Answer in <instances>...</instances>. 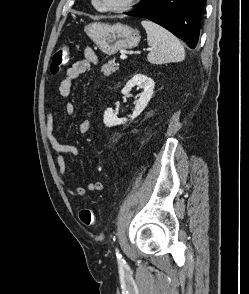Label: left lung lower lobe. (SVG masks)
Listing matches in <instances>:
<instances>
[{
    "label": "left lung lower lobe",
    "mask_w": 249,
    "mask_h": 294,
    "mask_svg": "<svg viewBox=\"0 0 249 294\" xmlns=\"http://www.w3.org/2000/svg\"><path fill=\"white\" fill-rule=\"evenodd\" d=\"M205 3L206 0H142L137 9L126 14L147 18L195 48Z\"/></svg>",
    "instance_id": "1"
}]
</instances>
